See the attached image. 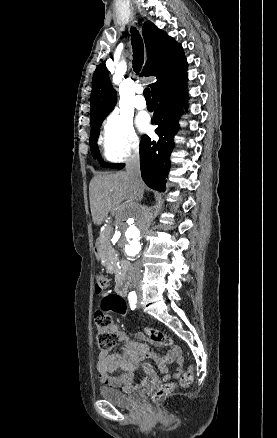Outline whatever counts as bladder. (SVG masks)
I'll return each mask as SVG.
<instances>
[{
  "instance_id": "31cf9c89",
  "label": "bladder",
  "mask_w": 277,
  "mask_h": 438,
  "mask_svg": "<svg viewBox=\"0 0 277 438\" xmlns=\"http://www.w3.org/2000/svg\"><path fill=\"white\" fill-rule=\"evenodd\" d=\"M97 394L102 397L103 401L121 408H134L142 401L143 397L140 392L125 394L123 391L112 387L100 388L98 389Z\"/></svg>"
}]
</instances>
